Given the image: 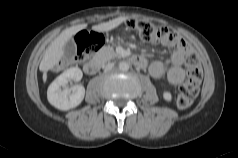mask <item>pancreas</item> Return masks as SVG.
Returning <instances> with one entry per match:
<instances>
[{
  "instance_id": "obj_1",
  "label": "pancreas",
  "mask_w": 238,
  "mask_h": 158,
  "mask_svg": "<svg viewBox=\"0 0 238 158\" xmlns=\"http://www.w3.org/2000/svg\"><path fill=\"white\" fill-rule=\"evenodd\" d=\"M95 57L102 61H108L112 58L117 57V54L114 52V49L110 46L101 48L96 54Z\"/></svg>"
}]
</instances>
